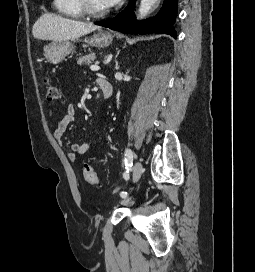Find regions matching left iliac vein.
Listing matches in <instances>:
<instances>
[{"label": "left iliac vein", "instance_id": "obj_1", "mask_svg": "<svg viewBox=\"0 0 255 272\" xmlns=\"http://www.w3.org/2000/svg\"><path fill=\"white\" fill-rule=\"evenodd\" d=\"M143 172V168L142 165L139 161L135 162L134 166H133V173H132V180L133 182H137Z\"/></svg>", "mask_w": 255, "mask_h": 272}]
</instances>
